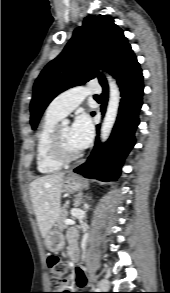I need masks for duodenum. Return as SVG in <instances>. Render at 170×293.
Segmentation results:
<instances>
[{
	"mask_svg": "<svg viewBox=\"0 0 170 293\" xmlns=\"http://www.w3.org/2000/svg\"><path fill=\"white\" fill-rule=\"evenodd\" d=\"M70 255L72 258H77L78 250L74 242H72L69 246Z\"/></svg>",
	"mask_w": 170,
	"mask_h": 293,
	"instance_id": "duodenum-1",
	"label": "duodenum"
}]
</instances>
